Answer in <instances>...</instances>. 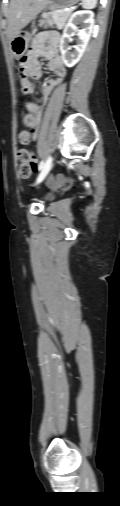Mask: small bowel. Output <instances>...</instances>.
Wrapping results in <instances>:
<instances>
[{"label":"small bowel","mask_w":120,"mask_h":506,"mask_svg":"<svg viewBox=\"0 0 120 506\" xmlns=\"http://www.w3.org/2000/svg\"><path fill=\"white\" fill-rule=\"evenodd\" d=\"M59 37L56 34L37 35L31 45L27 55V72L21 77V85L24 93L33 94L35 92L34 81L39 80L43 75V69L39 62L40 57L48 60V69L55 74V78L47 80L41 87V96L43 103H46L52 91L61 83L66 75V68L58 53ZM28 111L33 115L31 131L33 139L38 137V130L42 118L43 108L38 104H28Z\"/></svg>","instance_id":"small-bowel-1"}]
</instances>
